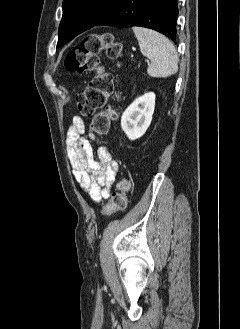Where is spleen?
<instances>
[{
    "label": "spleen",
    "mask_w": 240,
    "mask_h": 329,
    "mask_svg": "<svg viewBox=\"0 0 240 329\" xmlns=\"http://www.w3.org/2000/svg\"><path fill=\"white\" fill-rule=\"evenodd\" d=\"M141 53L151 60L147 73L155 78H167L178 71L175 46L164 35L151 29L133 27Z\"/></svg>",
    "instance_id": "spleen-1"
}]
</instances>
